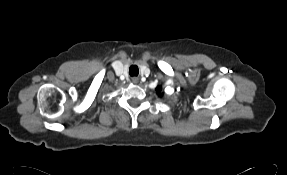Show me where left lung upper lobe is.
Returning a JSON list of instances; mask_svg holds the SVG:
<instances>
[{
  "mask_svg": "<svg viewBox=\"0 0 287 175\" xmlns=\"http://www.w3.org/2000/svg\"><path fill=\"white\" fill-rule=\"evenodd\" d=\"M156 90H157L158 92H161V90H162L161 86H158V87L156 88Z\"/></svg>",
  "mask_w": 287,
  "mask_h": 175,
  "instance_id": "1",
  "label": "left lung upper lobe"
}]
</instances>
